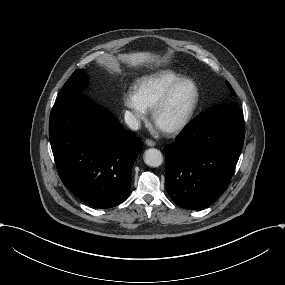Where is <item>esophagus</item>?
<instances>
[{
	"label": "esophagus",
	"mask_w": 285,
	"mask_h": 285,
	"mask_svg": "<svg viewBox=\"0 0 285 285\" xmlns=\"http://www.w3.org/2000/svg\"><path fill=\"white\" fill-rule=\"evenodd\" d=\"M145 144L148 146V147H153L155 146V142L153 140H150V139H146L145 140Z\"/></svg>",
	"instance_id": "obj_1"
}]
</instances>
